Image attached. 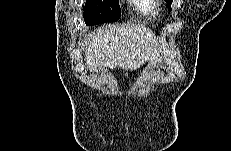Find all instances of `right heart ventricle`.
<instances>
[{"instance_id": "e07e8e85", "label": "right heart ventricle", "mask_w": 231, "mask_h": 151, "mask_svg": "<svg viewBox=\"0 0 231 151\" xmlns=\"http://www.w3.org/2000/svg\"><path fill=\"white\" fill-rule=\"evenodd\" d=\"M137 3V10L146 17H151L156 12V4L152 0H140L136 1Z\"/></svg>"}]
</instances>
